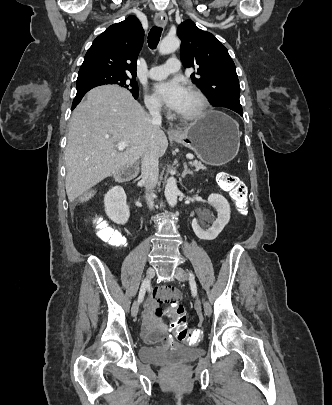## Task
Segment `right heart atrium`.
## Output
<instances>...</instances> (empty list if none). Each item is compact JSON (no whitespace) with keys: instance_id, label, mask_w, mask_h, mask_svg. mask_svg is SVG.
<instances>
[{"instance_id":"1","label":"right heart atrium","mask_w":332,"mask_h":405,"mask_svg":"<svg viewBox=\"0 0 332 405\" xmlns=\"http://www.w3.org/2000/svg\"><path fill=\"white\" fill-rule=\"evenodd\" d=\"M144 102L148 110L152 112H157L162 109L161 103L150 94H145Z\"/></svg>"}]
</instances>
